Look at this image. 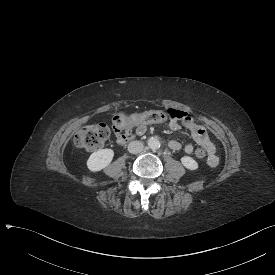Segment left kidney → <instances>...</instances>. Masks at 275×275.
<instances>
[{
	"mask_svg": "<svg viewBox=\"0 0 275 275\" xmlns=\"http://www.w3.org/2000/svg\"><path fill=\"white\" fill-rule=\"evenodd\" d=\"M180 162L184 168L190 171H196L199 168L198 162L190 156H182Z\"/></svg>",
	"mask_w": 275,
	"mask_h": 275,
	"instance_id": "obj_1",
	"label": "left kidney"
}]
</instances>
